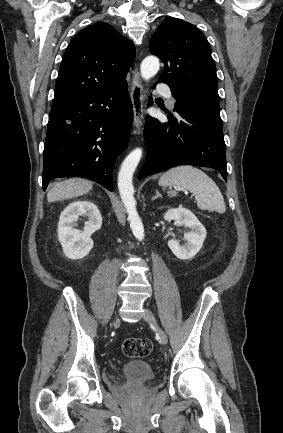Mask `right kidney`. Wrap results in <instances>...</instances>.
I'll return each instance as SVG.
<instances>
[{
  "instance_id": "ca27d5eb",
  "label": "right kidney",
  "mask_w": 283,
  "mask_h": 433,
  "mask_svg": "<svg viewBox=\"0 0 283 433\" xmlns=\"http://www.w3.org/2000/svg\"><path fill=\"white\" fill-rule=\"evenodd\" d=\"M79 216L87 218L83 231L76 228ZM102 217L95 204L89 201H75L61 213L58 224V238L64 254L69 259H82L93 248L91 235L99 230Z\"/></svg>"
}]
</instances>
